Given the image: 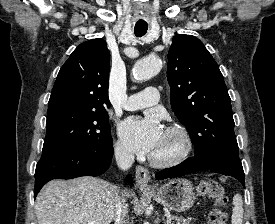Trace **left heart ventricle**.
I'll use <instances>...</instances> for the list:
<instances>
[{
  "instance_id": "b2bd125f",
  "label": "left heart ventricle",
  "mask_w": 275,
  "mask_h": 224,
  "mask_svg": "<svg viewBox=\"0 0 275 224\" xmlns=\"http://www.w3.org/2000/svg\"><path fill=\"white\" fill-rule=\"evenodd\" d=\"M178 149V142L173 137H170L166 132L163 135V139L156 149V151L152 154L156 157H166L176 152Z\"/></svg>"
}]
</instances>
